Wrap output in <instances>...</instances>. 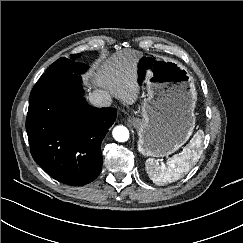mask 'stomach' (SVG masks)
<instances>
[{
	"instance_id": "0dacf381",
	"label": "stomach",
	"mask_w": 243,
	"mask_h": 243,
	"mask_svg": "<svg viewBox=\"0 0 243 243\" xmlns=\"http://www.w3.org/2000/svg\"><path fill=\"white\" fill-rule=\"evenodd\" d=\"M136 74L147 89L142 119L134 122L138 151L144 156H168L186 143L195 128L193 78L179 62L155 54L139 57Z\"/></svg>"
}]
</instances>
